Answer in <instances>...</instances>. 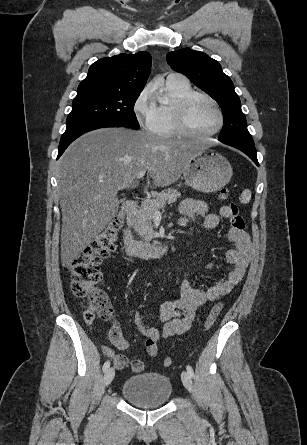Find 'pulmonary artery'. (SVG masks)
I'll return each instance as SVG.
<instances>
[{"label": "pulmonary artery", "instance_id": "e3ab8cb5", "mask_svg": "<svg viewBox=\"0 0 307 445\" xmlns=\"http://www.w3.org/2000/svg\"><path fill=\"white\" fill-rule=\"evenodd\" d=\"M169 78L171 80H178L180 78V73L178 71H171L169 73Z\"/></svg>", "mask_w": 307, "mask_h": 445}]
</instances>
